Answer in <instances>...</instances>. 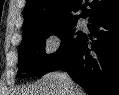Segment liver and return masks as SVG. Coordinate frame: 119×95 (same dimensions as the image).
I'll use <instances>...</instances> for the list:
<instances>
[{
  "label": "liver",
  "instance_id": "1",
  "mask_svg": "<svg viewBox=\"0 0 119 95\" xmlns=\"http://www.w3.org/2000/svg\"><path fill=\"white\" fill-rule=\"evenodd\" d=\"M65 73L50 72L40 80L26 88H22L18 95H85L80 86L71 80L68 84Z\"/></svg>",
  "mask_w": 119,
  "mask_h": 95
}]
</instances>
